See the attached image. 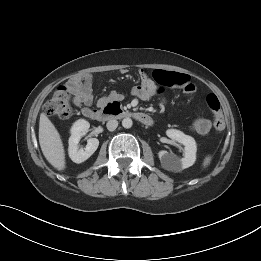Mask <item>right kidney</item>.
<instances>
[{
    "label": "right kidney",
    "instance_id": "right-kidney-1",
    "mask_svg": "<svg viewBox=\"0 0 261 261\" xmlns=\"http://www.w3.org/2000/svg\"><path fill=\"white\" fill-rule=\"evenodd\" d=\"M90 124L84 119L77 120L71 128V136L69 138V157L75 163H82L86 161L98 148L99 140L97 138H90L87 140L86 147L80 148L78 143L84 135L88 132Z\"/></svg>",
    "mask_w": 261,
    "mask_h": 261
}]
</instances>
